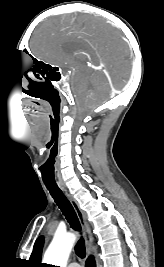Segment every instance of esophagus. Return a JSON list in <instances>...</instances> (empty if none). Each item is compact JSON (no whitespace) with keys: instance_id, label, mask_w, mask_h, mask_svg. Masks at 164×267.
<instances>
[{"instance_id":"esophagus-1","label":"esophagus","mask_w":164,"mask_h":267,"mask_svg":"<svg viewBox=\"0 0 164 267\" xmlns=\"http://www.w3.org/2000/svg\"><path fill=\"white\" fill-rule=\"evenodd\" d=\"M66 196L69 199L72 207L74 208L76 215L78 217V220L80 222L82 231H83V236H84V240H85V246H86V255L87 257L91 256L92 254V245H93V238H92V234H91V228L90 225L87 221V218L84 214V212L82 211V209L80 208L78 202L74 199V197L69 194L66 191Z\"/></svg>"}]
</instances>
